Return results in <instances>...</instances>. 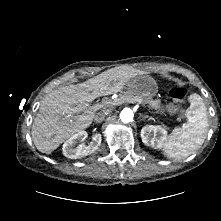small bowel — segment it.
<instances>
[{
    "mask_svg": "<svg viewBox=\"0 0 221 221\" xmlns=\"http://www.w3.org/2000/svg\"><path fill=\"white\" fill-rule=\"evenodd\" d=\"M170 110H174V107H173V106H171V107H170Z\"/></svg>",
    "mask_w": 221,
    "mask_h": 221,
    "instance_id": "c3829d8e",
    "label": "small bowel"
}]
</instances>
